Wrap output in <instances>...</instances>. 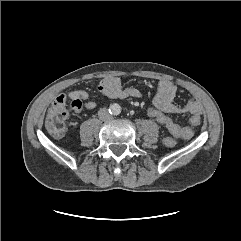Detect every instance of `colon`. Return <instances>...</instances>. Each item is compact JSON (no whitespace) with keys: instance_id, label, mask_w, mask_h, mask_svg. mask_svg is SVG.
Segmentation results:
<instances>
[{"instance_id":"5ec220e1","label":"colon","mask_w":241,"mask_h":241,"mask_svg":"<svg viewBox=\"0 0 241 241\" xmlns=\"http://www.w3.org/2000/svg\"><path fill=\"white\" fill-rule=\"evenodd\" d=\"M81 107L82 102L80 100H73L68 103L65 95H60L48 109L45 121L48 132L55 137L63 136L68 118L72 113L80 111ZM147 113L153 121L164 127L171 134L164 140L165 145L168 147L175 146L178 139L191 138L194 135L195 128L201 123L200 117L192 116L189 127L180 126L155 106H149Z\"/></svg>"}]
</instances>
